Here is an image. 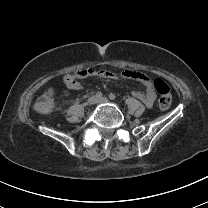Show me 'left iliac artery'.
Listing matches in <instances>:
<instances>
[{
	"label": "left iliac artery",
	"instance_id": "left-iliac-artery-1",
	"mask_svg": "<svg viewBox=\"0 0 208 208\" xmlns=\"http://www.w3.org/2000/svg\"><path fill=\"white\" fill-rule=\"evenodd\" d=\"M109 98H110L111 100H115V99H116V96H115L114 94L110 93V94H109Z\"/></svg>",
	"mask_w": 208,
	"mask_h": 208
}]
</instances>
